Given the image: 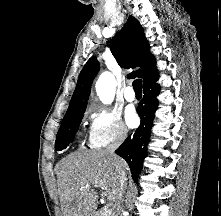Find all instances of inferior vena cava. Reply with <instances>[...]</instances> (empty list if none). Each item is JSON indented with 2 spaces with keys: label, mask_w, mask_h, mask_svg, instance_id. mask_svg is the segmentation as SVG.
Returning <instances> with one entry per match:
<instances>
[{
  "label": "inferior vena cava",
  "mask_w": 221,
  "mask_h": 216,
  "mask_svg": "<svg viewBox=\"0 0 221 216\" xmlns=\"http://www.w3.org/2000/svg\"><path fill=\"white\" fill-rule=\"evenodd\" d=\"M126 136H127L126 132L121 131V133L118 135L116 140L106 148V152L114 159V165H115V169L117 172V179H118L116 202L114 205L113 216H122V212H123L122 203H123L124 188L126 185V174H125V170L123 169L122 162L115 155V150L125 140Z\"/></svg>",
  "instance_id": "1"
}]
</instances>
